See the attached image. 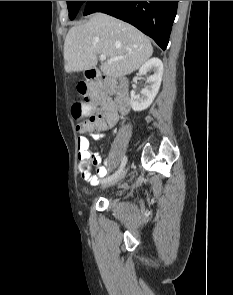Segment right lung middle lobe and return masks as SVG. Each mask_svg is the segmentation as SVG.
<instances>
[{"instance_id":"right-lung-middle-lobe-1","label":"right lung middle lobe","mask_w":233,"mask_h":295,"mask_svg":"<svg viewBox=\"0 0 233 295\" xmlns=\"http://www.w3.org/2000/svg\"><path fill=\"white\" fill-rule=\"evenodd\" d=\"M86 1H67L69 18L73 20L77 15L81 5Z\"/></svg>"}]
</instances>
